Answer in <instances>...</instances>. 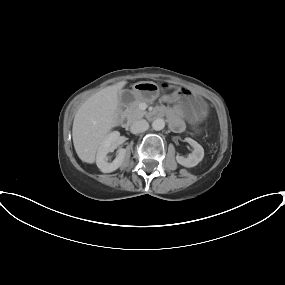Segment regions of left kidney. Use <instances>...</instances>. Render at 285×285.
I'll use <instances>...</instances> for the list:
<instances>
[{
  "label": "left kidney",
  "mask_w": 285,
  "mask_h": 285,
  "mask_svg": "<svg viewBox=\"0 0 285 285\" xmlns=\"http://www.w3.org/2000/svg\"><path fill=\"white\" fill-rule=\"evenodd\" d=\"M185 140L193 147L194 150L192 154H190L187 158L177 155L176 160L180 165L184 167H194L200 161H202L204 157V149L200 144L191 138H186Z\"/></svg>",
  "instance_id": "left-kidney-1"
}]
</instances>
